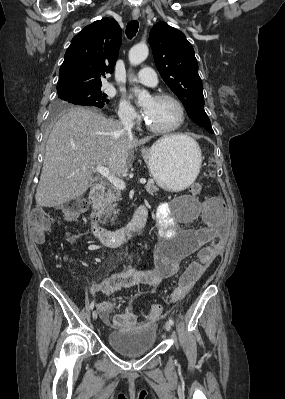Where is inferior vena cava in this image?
<instances>
[{
    "instance_id": "obj_1",
    "label": "inferior vena cava",
    "mask_w": 285,
    "mask_h": 399,
    "mask_svg": "<svg viewBox=\"0 0 285 399\" xmlns=\"http://www.w3.org/2000/svg\"><path fill=\"white\" fill-rule=\"evenodd\" d=\"M120 123L122 124L125 131L131 133V130L134 126L133 119L129 114H123L120 116Z\"/></svg>"
}]
</instances>
